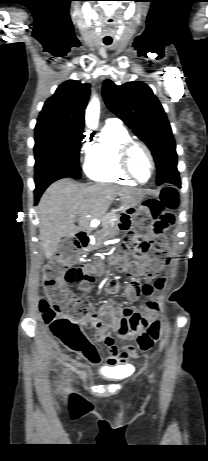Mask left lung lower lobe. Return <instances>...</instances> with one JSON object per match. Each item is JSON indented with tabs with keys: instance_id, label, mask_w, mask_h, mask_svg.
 Returning <instances> with one entry per match:
<instances>
[{
	"instance_id": "obj_1",
	"label": "left lung lower lobe",
	"mask_w": 208,
	"mask_h": 461,
	"mask_svg": "<svg viewBox=\"0 0 208 461\" xmlns=\"http://www.w3.org/2000/svg\"><path fill=\"white\" fill-rule=\"evenodd\" d=\"M162 183H172V184H175V185L180 187L181 182H180V178H179V173L175 174V175H172V176L162 180L161 184Z\"/></svg>"
}]
</instances>
